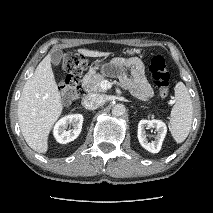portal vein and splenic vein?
<instances>
[{
  "mask_svg": "<svg viewBox=\"0 0 213 213\" xmlns=\"http://www.w3.org/2000/svg\"><path fill=\"white\" fill-rule=\"evenodd\" d=\"M100 86L103 90H108L112 87V83L107 80H104L101 82Z\"/></svg>",
  "mask_w": 213,
  "mask_h": 213,
  "instance_id": "obj_1",
  "label": "portal vein and splenic vein"
}]
</instances>
